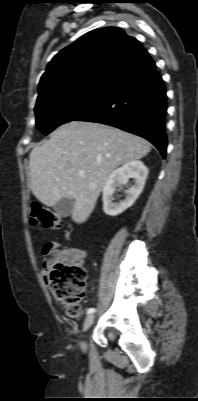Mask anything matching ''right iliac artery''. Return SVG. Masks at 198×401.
<instances>
[{
  "label": "right iliac artery",
  "mask_w": 198,
  "mask_h": 401,
  "mask_svg": "<svg viewBox=\"0 0 198 401\" xmlns=\"http://www.w3.org/2000/svg\"><path fill=\"white\" fill-rule=\"evenodd\" d=\"M95 312V309L94 308H89L88 310H87V314H91V313H94Z\"/></svg>",
  "instance_id": "obj_1"
}]
</instances>
